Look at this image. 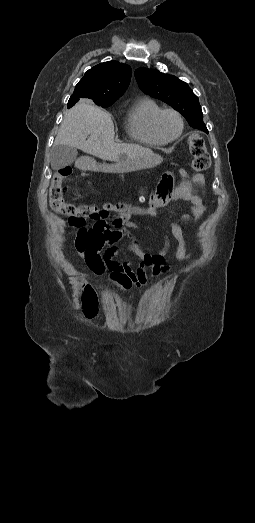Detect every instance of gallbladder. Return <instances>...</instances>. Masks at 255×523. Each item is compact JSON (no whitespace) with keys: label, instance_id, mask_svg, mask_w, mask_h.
Returning <instances> with one entry per match:
<instances>
[{"label":"gallbladder","instance_id":"1","mask_svg":"<svg viewBox=\"0 0 255 523\" xmlns=\"http://www.w3.org/2000/svg\"><path fill=\"white\" fill-rule=\"evenodd\" d=\"M78 156L76 148L65 146V144H56L51 150V168L52 170H61L65 166H70L75 162ZM123 162V160H121Z\"/></svg>","mask_w":255,"mask_h":523}]
</instances>
